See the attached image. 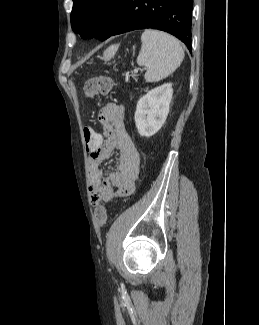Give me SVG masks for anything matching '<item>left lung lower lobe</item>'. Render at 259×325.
<instances>
[{
	"mask_svg": "<svg viewBox=\"0 0 259 325\" xmlns=\"http://www.w3.org/2000/svg\"><path fill=\"white\" fill-rule=\"evenodd\" d=\"M193 0H125L108 37L153 28L180 39L191 50Z\"/></svg>",
	"mask_w": 259,
	"mask_h": 325,
	"instance_id": "obj_1",
	"label": "left lung lower lobe"
}]
</instances>
